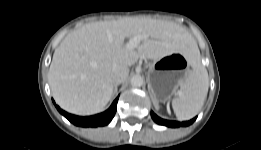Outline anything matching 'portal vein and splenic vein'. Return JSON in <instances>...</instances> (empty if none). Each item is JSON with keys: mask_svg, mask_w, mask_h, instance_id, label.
Listing matches in <instances>:
<instances>
[{"mask_svg": "<svg viewBox=\"0 0 261 150\" xmlns=\"http://www.w3.org/2000/svg\"><path fill=\"white\" fill-rule=\"evenodd\" d=\"M146 38H147L146 35H135L134 37H132L129 40V42L126 44V46L129 49L136 48L138 46V44L140 43V41L143 39H146Z\"/></svg>", "mask_w": 261, "mask_h": 150, "instance_id": "portal-vein-and-splenic-vein-1", "label": "portal vein and splenic vein"}]
</instances>
